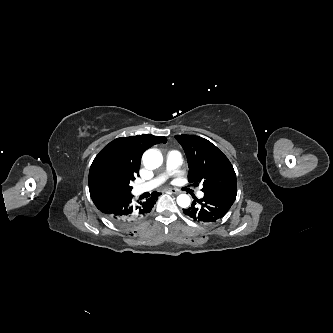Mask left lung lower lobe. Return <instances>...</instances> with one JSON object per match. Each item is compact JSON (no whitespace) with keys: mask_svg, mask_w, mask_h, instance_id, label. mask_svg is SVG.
Masks as SVG:
<instances>
[{"mask_svg":"<svg viewBox=\"0 0 333 333\" xmlns=\"http://www.w3.org/2000/svg\"><path fill=\"white\" fill-rule=\"evenodd\" d=\"M232 204L230 200L204 194L202 199L193 201L191 207L183 209V212L196 221L215 222L224 217Z\"/></svg>","mask_w":333,"mask_h":333,"instance_id":"left-lung-lower-lobe-1","label":"left lung lower lobe"}]
</instances>
